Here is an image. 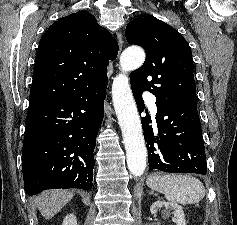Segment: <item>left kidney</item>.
I'll list each match as a JSON object with an SVG mask.
<instances>
[{
    "mask_svg": "<svg viewBox=\"0 0 237 225\" xmlns=\"http://www.w3.org/2000/svg\"><path fill=\"white\" fill-rule=\"evenodd\" d=\"M165 208V211L172 210L173 218L172 222L176 225H186L185 222V214L183 212L182 207L179 204L173 202H164V201H156L150 207L151 214H156L158 210ZM168 214H166L167 216Z\"/></svg>",
    "mask_w": 237,
    "mask_h": 225,
    "instance_id": "left-kidney-1",
    "label": "left kidney"
}]
</instances>
